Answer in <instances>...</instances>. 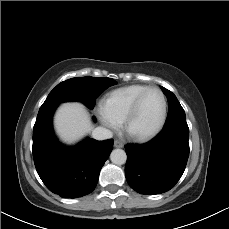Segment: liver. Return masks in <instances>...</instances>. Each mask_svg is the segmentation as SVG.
<instances>
[{"instance_id": "liver-1", "label": "liver", "mask_w": 229, "mask_h": 229, "mask_svg": "<svg viewBox=\"0 0 229 229\" xmlns=\"http://www.w3.org/2000/svg\"><path fill=\"white\" fill-rule=\"evenodd\" d=\"M54 126L59 137L67 143L79 140L93 129L86 108L78 102L61 105L54 117Z\"/></svg>"}]
</instances>
